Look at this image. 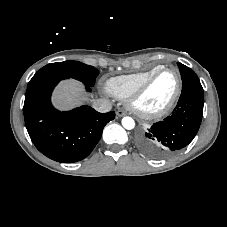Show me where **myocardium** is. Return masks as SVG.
<instances>
[{
  "label": "myocardium",
  "instance_id": "obj_1",
  "mask_svg": "<svg viewBox=\"0 0 227 227\" xmlns=\"http://www.w3.org/2000/svg\"><path fill=\"white\" fill-rule=\"evenodd\" d=\"M166 71H173L176 74L177 77V86L176 90L170 99V101L161 109L155 110V111H145L139 108L138 102L141 99V97L145 94V92L148 90V88L151 86V84L154 82V80L163 72ZM182 92V77L178 69L175 67H166L163 66L154 73H152L145 81H143L136 89L135 91L128 97L127 105L129 109L134 112L136 115L143 119H158L165 115H167L175 106L177 103L180 95Z\"/></svg>",
  "mask_w": 227,
  "mask_h": 227
}]
</instances>
